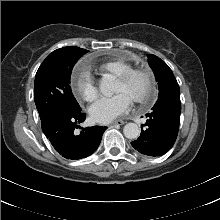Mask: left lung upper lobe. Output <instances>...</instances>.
Returning a JSON list of instances; mask_svg holds the SVG:
<instances>
[{
	"instance_id": "left-lung-upper-lobe-1",
	"label": "left lung upper lobe",
	"mask_w": 220,
	"mask_h": 220,
	"mask_svg": "<svg viewBox=\"0 0 220 220\" xmlns=\"http://www.w3.org/2000/svg\"><path fill=\"white\" fill-rule=\"evenodd\" d=\"M148 62L158 82V100L171 96H180L179 85L168 65L155 55H149Z\"/></svg>"
}]
</instances>
